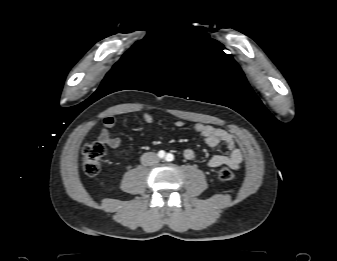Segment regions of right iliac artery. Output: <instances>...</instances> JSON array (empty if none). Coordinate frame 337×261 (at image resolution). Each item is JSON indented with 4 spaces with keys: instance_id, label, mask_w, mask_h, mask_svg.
I'll use <instances>...</instances> for the list:
<instances>
[{
    "instance_id": "obj_1",
    "label": "right iliac artery",
    "mask_w": 337,
    "mask_h": 261,
    "mask_svg": "<svg viewBox=\"0 0 337 261\" xmlns=\"http://www.w3.org/2000/svg\"><path fill=\"white\" fill-rule=\"evenodd\" d=\"M158 156H159L160 158H164L165 152H164L163 150L159 151V152H158Z\"/></svg>"
}]
</instances>
